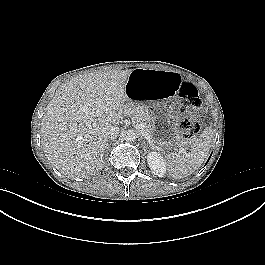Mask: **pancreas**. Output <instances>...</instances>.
I'll list each match as a JSON object with an SVG mask.
<instances>
[{
	"label": "pancreas",
	"instance_id": "obj_1",
	"mask_svg": "<svg viewBox=\"0 0 265 265\" xmlns=\"http://www.w3.org/2000/svg\"><path fill=\"white\" fill-rule=\"evenodd\" d=\"M124 113L132 118L134 124L141 125L143 130L147 132L148 135L151 134L150 126L147 124L149 115L144 109L129 106L124 109Z\"/></svg>",
	"mask_w": 265,
	"mask_h": 265
}]
</instances>
